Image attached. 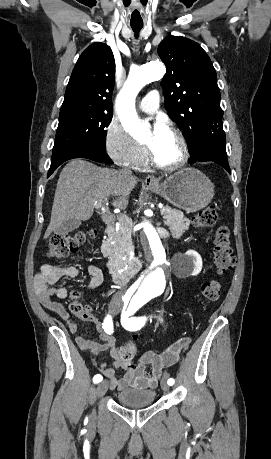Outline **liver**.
<instances>
[{
    "mask_svg": "<svg viewBox=\"0 0 271 459\" xmlns=\"http://www.w3.org/2000/svg\"><path fill=\"white\" fill-rule=\"evenodd\" d=\"M137 184V178L111 168H98L83 158L72 160L63 168L56 186L51 220L44 233L49 237L53 229L67 220H89L95 206L108 196H120L112 206L125 210L127 198Z\"/></svg>",
    "mask_w": 271,
    "mask_h": 459,
    "instance_id": "6515ba94",
    "label": "liver"
}]
</instances>
